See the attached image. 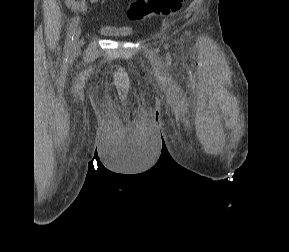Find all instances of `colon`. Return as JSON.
I'll return each instance as SVG.
<instances>
[{"label":"colon","mask_w":289,"mask_h":252,"mask_svg":"<svg viewBox=\"0 0 289 252\" xmlns=\"http://www.w3.org/2000/svg\"><path fill=\"white\" fill-rule=\"evenodd\" d=\"M185 0H133L128 7V17L140 21L152 16H168L178 12Z\"/></svg>","instance_id":"obj_1"}]
</instances>
